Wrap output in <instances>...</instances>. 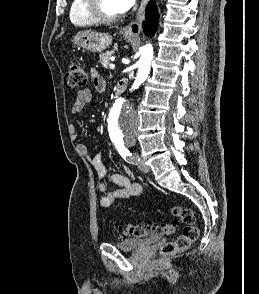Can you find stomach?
Wrapping results in <instances>:
<instances>
[{
    "label": "stomach",
    "mask_w": 259,
    "mask_h": 294,
    "mask_svg": "<svg viewBox=\"0 0 259 294\" xmlns=\"http://www.w3.org/2000/svg\"><path fill=\"white\" fill-rule=\"evenodd\" d=\"M123 37L128 41H133L135 36L123 33ZM72 42L77 47H82L91 52H102L112 44V36L106 33H97L94 31H81L77 33Z\"/></svg>",
    "instance_id": "obj_1"
}]
</instances>
